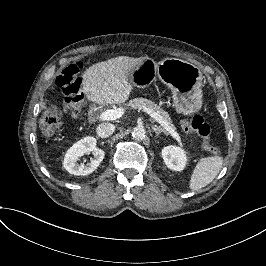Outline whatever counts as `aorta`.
Masks as SVG:
<instances>
[{"label": "aorta", "mask_w": 266, "mask_h": 266, "mask_svg": "<svg viewBox=\"0 0 266 266\" xmlns=\"http://www.w3.org/2000/svg\"><path fill=\"white\" fill-rule=\"evenodd\" d=\"M147 133L143 126H136L132 130V137L137 141H142L145 139Z\"/></svg>", "instance_id": "1"}]
</instances>
